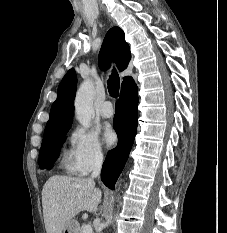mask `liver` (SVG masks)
<instances>
[{
	"label": "liver",
	"instance_id": "liver-1",
	"mask_svg": "<svg viewBox=\"0 0 227 233\" xmlns=\"http://www.w3.org/2000/svg\"><path fill=\"white\" fill-rule=\"evenodd\" d=\"M102 192L92 178L52 176L43 186L42 206L47 233H62L81 211L95 212Z\"/></svg>",
	"mask_w": 227,
	"mask_h": 233
}]
</instances>
